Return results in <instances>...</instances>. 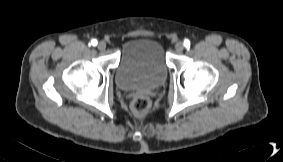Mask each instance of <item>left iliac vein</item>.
Segmentation results:
<instances>
[{"label":"left iliac vein","mask_w":283,"mask_h":162,"mask_svg":"<svg viewBox=\"0 0 283 162\" xmlns=\"http://www.w3.org/2000/svg\"><path fill=\"white\" fill-rule=\"evenodd\" d=\"M175 50L177 53H181L184 50V45L181 41L176 43Z\"/></svg>","instance_id":"4c4485c4"}]
</instances>
